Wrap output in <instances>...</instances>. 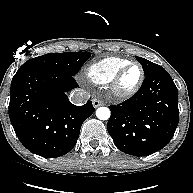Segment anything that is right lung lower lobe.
Here are the masks:
<instances>
[{
	"mask_svg": "<svg viewBox=\"0 0 193 193\" xmlns=\"http://www.w3.org/2000/svg\"><path fill=\"white\" fill-rule=\"evenodd\" d=\"M78 87L68 74L33 70L11 81L9 117L20 142L32 153L54 158L76 144L80 128L93 112L91 101L75 106L66 93Z\"/></svg>",
	"mask_w": 193,
	"mask_h": 193,
	"instance_id": "98d812e1",
	"label": "right lung lower lobe"
}]
</instances>
